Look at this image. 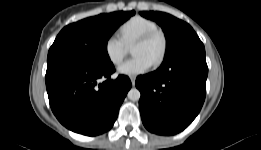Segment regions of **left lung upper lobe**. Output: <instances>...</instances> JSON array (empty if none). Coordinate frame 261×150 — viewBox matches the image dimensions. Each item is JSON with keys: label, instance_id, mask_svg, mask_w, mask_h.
<instances>
[{"label": "left lung upper lobe", "instance_id": "5c2ea615", "mask_svg": "<svg viewBox=\"0 0 261 150\" xmlns=\"http://www.w3.org/2000/svg\"><path fill=\"white\" fill-rule=\"evenodd\" d=\"M140 14L145 18L156 21L162 27L167 42L166 55L184 40L197 35L189 24L167 13L143 11Z\"/></svg>", "mask_w": 261, "mask_h": 150}]
</instances>
